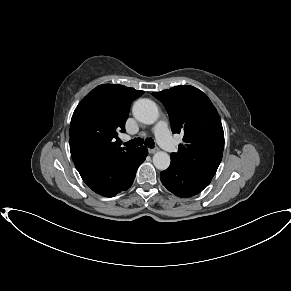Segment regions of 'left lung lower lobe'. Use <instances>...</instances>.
Here are the masks:
<instances>
[{
    "label": "left lung lower lobe",
    "instance_id": "0a47b994",
    "mask_svg": "<svg viewBox=\"0 0 291 291\" xmlns=\"http://www.w3.org/2000/svg\"><path fill=\"white\" fill-rule=\"evenodd\" d=\"M160 178L170 192L183 198L200 193L211 181L196 176L173 162L167 170L161 172Z\"/></svg>",
    "mask_w": 291,
    "mask_h": 291
}]
</instances>
